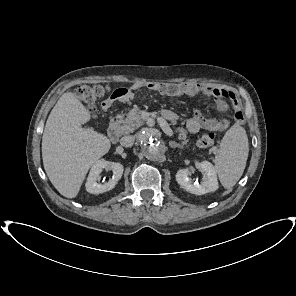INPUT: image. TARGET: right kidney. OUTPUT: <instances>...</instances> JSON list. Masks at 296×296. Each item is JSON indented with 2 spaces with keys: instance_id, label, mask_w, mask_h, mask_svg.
Wrapping results in <instances>:
<instances>
[{
  "instance_id": "right-kidney-1",
  "label": "right kidney",
  "mask_w": 296,
  "mask_h": 296,
  "mask_svg": "<svg viewBox=\"0 0 296 296\" xmlns=\"http://www.w3.org/2000/svg\"><path fill=\"white\" fill-rule=\"evenodd\" d=\"M107 167L113 171L112 179H110L107 183H100V174L103 169ZM123 171L124 167L119 162H111L104 159L96 161L89 172L85 184L87 192L91 194H100L113 189L117 182L121 179Z\"/></svg>"
}]
</instances>
